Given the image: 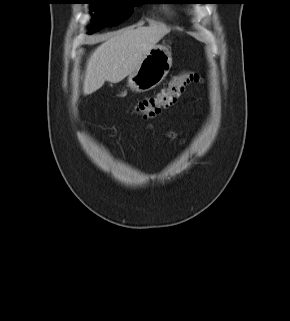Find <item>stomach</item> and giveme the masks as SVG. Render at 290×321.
Wrapping results in <instances>:
<instances>
[{"mask_svg":"<svg viewBox=\"0 0 290 321\" xmlns=\"http://www.w3.org/2000/svg\"><path fill=\"white\" fill-rule=\"evenodd\" d=\"M172 66L171 52L164 45H155L139 67L128 76V86L135 92H147L159 85Z\"/></svg>","mask_w":290,"mask_h":321,"instance_id":"obj_1","label":"stomach"}]
</instances>
